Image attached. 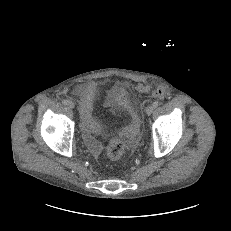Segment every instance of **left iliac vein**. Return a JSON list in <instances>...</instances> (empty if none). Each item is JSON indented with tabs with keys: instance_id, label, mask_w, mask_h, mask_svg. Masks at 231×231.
Returning <instances> with one entry per match:
<instances>
[{
	"instance_id": "obj_1",
	"label": "left iliac vein",
	"mask_w": 231,
	"mask_h": 231,
	"mask_svg": "<svg viewBox=\"0 0 231 231\" xmlns=\"http://www.w3.org/2000/svg\"><path fill=\"white\" fill-rule=\"evenodd\" d=\"M153 110H154L153 105H148V106L146 107V114H147V115H151V114L153 113Z\"/></svg>"
}]
</instances>
